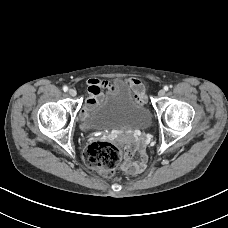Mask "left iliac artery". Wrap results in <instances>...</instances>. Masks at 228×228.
<instances>
[{
	"label": "left iliac artery",
	"mask_w": 228,
	"mask_h": 228,
	"mask_svg": "<svg viewBox=\"0 0 228 228\" xmlns=\"http://www.w3.org/2000/svg\"><path fill=\"white\" fill-rule=\"evenodd\" d=\"M164 90L165 91H168L169 90V87L168 86H164Z\"/></svg>",
	"instance_id": "obj_1"
}]
</instances>
